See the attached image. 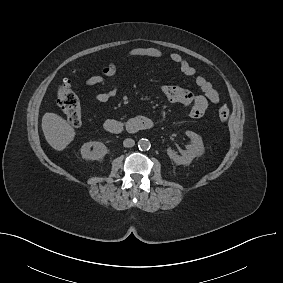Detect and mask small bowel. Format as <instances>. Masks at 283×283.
Instances as JSON below:
<instances>
[{
  "instance_id": "1",
  "label": "small bowel",
  "mask_w": 283,
  "mask_h": 283,
  "mask_svg": "<svg viewBox=\"0 0 283 283\" xmlns=\"http://www.w3.org/2000/svg\"><path fill=\"white\" fill-rule=\"evenodd\" d=\"M165 57L176 64L183 75L195 78L200 93L193 94L188 89L174 85L161 86L160 92L168 101L189 108V114L192 118L203 117L209 103L217 104L219 102V94L205 77L196 74L195 68L180 54L173 52L165 55L164 52L155 47H137L129 50L123 58L163 59ZM120 61V59L110 61L101 69L100 74L93 75L85 80V85L88 87H104L102 92L94 95L96 102L105 103L117 95L118 87L115 84H110L108 80L115 79Z\"/></svg>"
}]
</instances>
